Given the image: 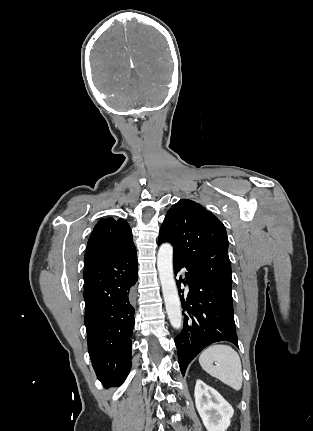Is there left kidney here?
I'll return each mask as SVG.
<instances>
[{"instance_id": "1", "label": "left kidney", "mask_w": 313, "mask_h": 431, "mask_svg": "<svg viewBox=\"0 0 313 431\" xmlns=\"http://www.w3.org/2000/svg\"><path fill=\"white\" fill-rule=\"evenodd\" d=\"M195 404L207 431H226L234 414L232 406L202 380L195 385Z\"/></svg>"}]
</instances>
